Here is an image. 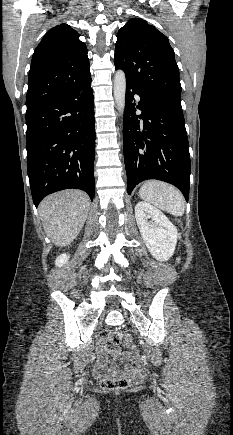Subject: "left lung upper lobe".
<instances>
[{"label": "left lung upper lobe", "instance_id": "left-lung-upper-lobe-1", "mask_svg": "<svg viewBox=\"0 0 233 435\" xmlns=\"http://www.w3.org/2000/svg\"><path fill=\"white\" fill-rule=\"evenodd\" d=\"M116 69L144 94L181 104L179 68L168 38L140 18L129 19L119 30L115 47Z\"/></svg>", "mask_w": 233, "mask_h": 435}]
</instances>
